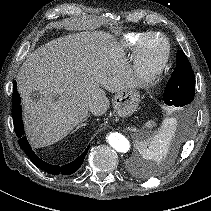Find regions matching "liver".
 <instances>
[{
	"mask_svg": "<svg viewBox=\"0 0 211 211\" xmlns=\"http://www.w3.org/2000/svg\"><path fill=\"white\" fill-rule=\"evenodd\" d=\"M18 91L30 143L41 148L63 139L88 114H104L105 91L134 88L123 46L102 31L54 39L27 56L17 74ZM102 87V88H101ZM39 92L33 100L32 93Z\"/></svg>",
	"mask_w": 211,
	"mask_h": 211,
	"instance_id": "obj_1",
	"label": "liver"
}]
</instances>
